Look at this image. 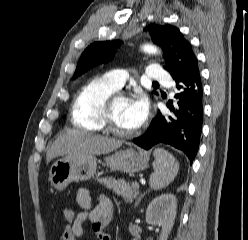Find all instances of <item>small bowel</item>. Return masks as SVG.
<instances>
[{
    "instance_id": "c3829d8e",
    "label": "small bowel",
    "mask_w": 248,
    "mask_h": 240,
    "mask_svg": "<svg viewBox=\"0 0 248 240\" xmlns=\"http://www.w3.org/2000/svg\"><path fill=\"white\" fill-rule=\"evenodd\" d=\"M81 212L77 213L74 219L66 223L62 240H77L83 234V223L90 221L92 229L100 240H111L105 232L106 224L113 218L114 204L105 194L97 196V205L92 208V198L86 188H80L76 197Z\"/></svg>"
}]
</instances>
